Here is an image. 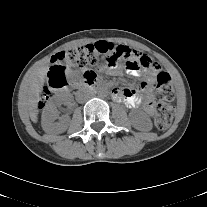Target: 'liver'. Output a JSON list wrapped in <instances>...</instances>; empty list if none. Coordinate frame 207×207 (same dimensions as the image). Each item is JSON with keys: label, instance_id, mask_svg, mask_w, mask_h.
I'll use <instances>...</instances> for the list:
<instances>
[{"label": "liver", "instance_id": "6515ba94", "mask_svg": "<svg viewBox=\"0 0 207 207\" xmlns=\"http://www.w3.org/2000/svg\"><path fill=\"white\" fill-rule=\"evenodd\" d=\"M49 61H46L42 65L34 68L24 79L21 96L26 103L31 120L37 122V106L41 99V92L45 83V77L48 70Z\"/></svg>", "mask_w": 207, "mask_h": 207}]
</instances>
